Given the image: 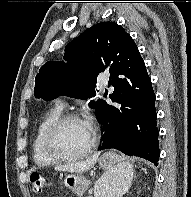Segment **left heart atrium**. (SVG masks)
Segmentation results:
<instances>
[{"label":"left heart atrium","instance_id":"39dd6f15","mask_svg":"<svg viewBox=\"0 0 191 197\" xmlns=\"http://www.w3.org/2000/svg\"><path fill=\"white\" fill-rule=\"evenodd\" d=\"M86 128L93 134L94 131V121L92 118H88L84 121Z\"/></svg>","mask_w":191,"mask_h":197}]
</instances>
